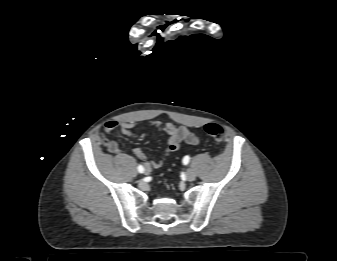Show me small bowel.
Wrapping results in <instances>:
<instances>
[{"label": "small bowel", "instance_id": "c3829d8e", "mask_svg": "<svg viewBox=\"0 0 337 261\" xmlns=\"http://www.w3.org/2000/svg\"><path fill=\"white\" fill-rule=\"evenodd\" d=\"M151 125L158 131L166 133L168 138L163 153L159 157L145 163V167L150 168V170L151 168H159L162 165L164 158L170 153L177 151L181 143H187L190 145H196L199 143V137L186 127H177L172 123H162L160 121H154ZM136 126L137 124L135 122L109 120L105 123L104 130L105 132L110 133L115 129H119L121 134L141 140L144 135L133 132V129ZM108 148L113 153L120 152L119 144L116 141H111ZM133 153L138 159L143 161L146 160V154L141 148H135Z\"/></svg>", "mask_w": 337, "mask_h": 261}]
</instances>
